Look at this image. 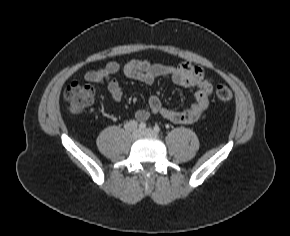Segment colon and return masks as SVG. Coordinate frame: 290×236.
Masks as SVG:
<instances>
[{
  "label": "colon",
  "instance_id": "colon-1",
  "mask_svg": "<svg viewBox=\"0 0 290 236\" xmlns=\"http://www.w3.org/2000/svg\"><path fill=\"white\" fill-rule=\"evenodd\" d=\"M215 96L219 101L226 102L232 98V91L228 86L218 84L215 88ZM64 98L69 104L70 111L80 114L93 103L95 90L90 85L73 82L66 87Z\"/></svg>",
  "mask_w": 290,
  "mask_h": 236
}]
</instances>
